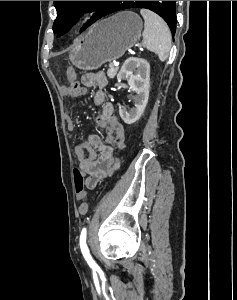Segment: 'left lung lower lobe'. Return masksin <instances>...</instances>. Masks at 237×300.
I'll return each mask as SVG.
<instances>
[{"label":"left lung lower lobe","instance_id":"obj_1","mask_svg":"<svg viewBox=\"0 0 237 300\" xmlns=\"http://www.w3.org/2000/svg\"><path fill=\"white\" fill-rule=\"evenodd\" d=\"M121 1H114L111 5H110V7H109V9H108V14H110V13H113V12H116V11H119V7H120V5H121V3H120ZM162 3H165L166 1H161Z\"/></svg>","mask_w":237,"mask_h":300}]
</instances>
